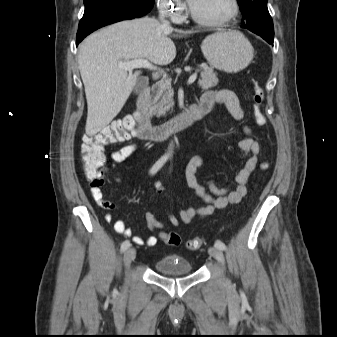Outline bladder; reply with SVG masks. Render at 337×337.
<instances>
[{
	"label": "bladder",
	"mask_w": 337,
	"mask_h": 337,
	"mask_svg": "<svg viewBox=\"0 0 337 337\" xmlns=\"http://www.w3.org/2000/svg\"><path fill=\"white\" fill-rule=\"evenodd\" d=\"M155 269L161 275L180 276L192 273L191 263L179 255H165L155 262Z\"/></svg>",
	"instance_id": "bladder-1"
}]
</instances>
